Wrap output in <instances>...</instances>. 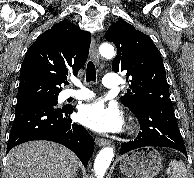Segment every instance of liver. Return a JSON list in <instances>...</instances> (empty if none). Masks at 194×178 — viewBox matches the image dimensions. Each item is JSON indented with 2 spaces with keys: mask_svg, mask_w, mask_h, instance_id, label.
Listing matches in <instances>:
<instances>
[{
  "mask_svg": "<svg viewBox=\"0 0 194 178\" xmlns=\"http://www.w3.org/2000/svg\"><path fill=\"white\" fill-rule=\"evenodd\" d=\"M80 165L66 147L50 141H30L7 155L5 178H72Z\"/></svg>",
  "mask_w": 194,
  "mask_h": 178,
  "instance_id": "liver-1",
  "label": "liver"
}]
</instances>
